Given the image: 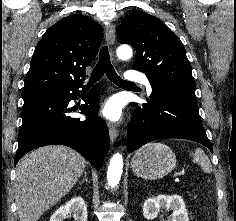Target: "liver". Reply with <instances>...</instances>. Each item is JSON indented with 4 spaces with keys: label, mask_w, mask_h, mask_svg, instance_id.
I'll use <instances>...</instances> for the list:
<instances>
[{
    "label": "liver",
    "mask_w": 236,
    "mask_h": 221,
    "mask_svg": "<svg viewBox=\"0 0 236 221\" xmlns=\"http://www.w3.org/2000/svg\"><path fill=\"white\" fill-rule=\"evenodd\" d=\"M85 166L83 156L65 146H45L24 156L14 186L20 221H37L74 187Z\"/></svg>",
    "instance_id": "6515ba94"
}]
</instances>
